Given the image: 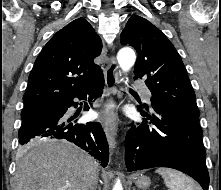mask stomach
<instances>
[{
	"mask_svg": "<svg viewBox=\"0 0 221 190\" xmlns=\"http://www.w3.org/2000/svg\"><path fill=\"white\" fill-rule=\"evenodd\" d=\"M134 181H135L136 186L139 187V188H142V189H145V188L149 187V185L151 183L149 177L142 176V175L135 176Z\"/></svg>",
	"mask_w": 221,
	"mask_h": 190,
	"instance_id": "obj_1",
	"label": "stomach"
}]
</instances>
